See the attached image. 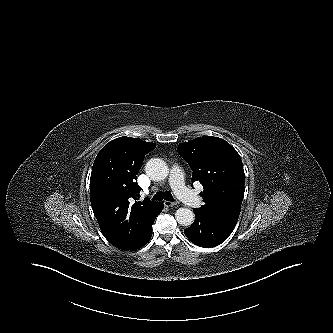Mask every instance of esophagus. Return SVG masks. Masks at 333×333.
<instances>
[{
  "instance_id": "1",
  "label": "esophagus",
  "mask_w": 333,
  "mask_h": 333,
  "mask_svg": "<svg viewBox=\"0 0 333 333\" xmlns=\"http://www.w3.org/2000/svg\"><path fill=\"white\" fill-rule=\"evenodd\" d=\"M164 205L166 206V207H173V206H177L178 204H177V202H171V201H164Z\"/></svg>"
}]
</instances>
